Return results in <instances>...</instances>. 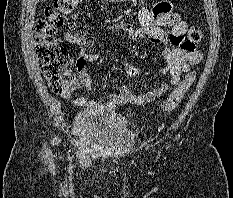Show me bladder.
Here are the masks:
<instances>
[{
    "label": "bladder",
    "mask_w": 233,
    "mask_h": 198,
    "mask_svg": "<svg viewBox=\"0 0 233 198\" xmlns=\"http://www.w3.org/2000/svg\"><path fill=\"white\" fill-rule=\"evenodd\" d=\"M74 139L85 152H120L132 147L135 134L117 113L82 112L73 126Z\"/></svg>",
    "instance_id": "obj_1"
}]
</instances>
